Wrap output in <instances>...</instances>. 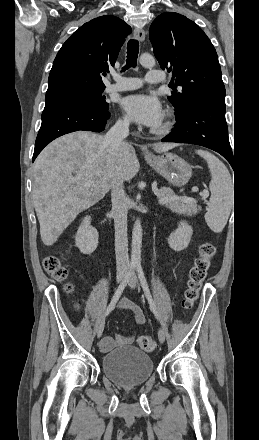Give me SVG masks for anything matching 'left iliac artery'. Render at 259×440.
I'll return each instance as SVG.
<instances>
[{
	"mask_svg": "<svg viewBox=\"0 0 259 440\" xmlns=\"http://www.w3.org/2000/svg\"><path fill=\"white\" fill-rule=\"evenodd\" d=\"M135 267H136V271H137L139 280L141 282L142 288L144 290V293H145L146 298L148 300V303L150 305V308H151L152 312L154 313V315L156 316V318L158 319L157 309H156L155 303H154V301L152 299V296L150 294L149 286H148V283L146 281V278H145L143 269L141 267V264H137Z\"/></svg>",
	"mask_w": 259,
	"mask_h": 440,
	"instance_id": "left-iliac-artery-1",
	"label": "left iliac artery"
}]
</instances>
